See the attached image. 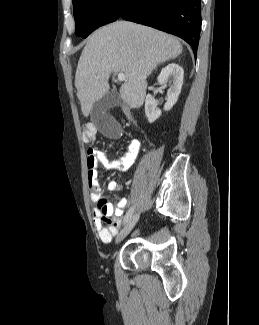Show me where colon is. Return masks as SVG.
<instances>
[{"label":"colon","instance_id":"5ec220e1","mask_svg":"<svg viewBox=\"0 0 259 325\" xmlns=\"http://www.w3.org/2000/svg\"><path fill=\"white\" fill-rule=\"evenodd\" d=\"M95 126L93 124H87L82 130V139L85 143H89L93 140L95 135Z\"/></svg>","mask_w":259,"mask_h":325}]
</instances>
